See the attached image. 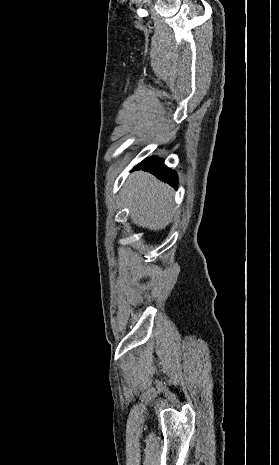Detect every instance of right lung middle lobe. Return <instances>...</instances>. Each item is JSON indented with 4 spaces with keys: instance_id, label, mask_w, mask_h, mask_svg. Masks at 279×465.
<instances>
[{
    "instance_id": "dd1d6c3e",
    "label": "right lung middle lobe",
    "mask_w": 279,
    "mask_h": 465,
    "mask_svg": "<svg viewBox=\"0 0 279 465\" xmlns=\"http://www.w3.org/2000/svg\"><path fill=\"white\" fill-rule=\"evenodd\" d=\"M156 159V157H151V158H148V159H145L144 161H142L140 164H149L151 163L152 161H154Z\"/></svg>"
}]
</instances>
